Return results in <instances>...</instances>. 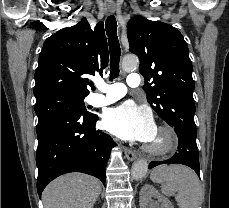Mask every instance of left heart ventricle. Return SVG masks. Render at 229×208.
Listing matches in <instances>:
<instances>
[{
	"mask_svg": "<svg viewBox=\"0 0 229 208\" xmlns=\"http://www.w3.org/2000/svg\"><path fill=\"white\" fill-rule=\"evenodd\" d=\"M165 138H168V135L166 133L156 131L150 141H148V145L153 146L157 149H162L166 147V143L164 142ZM161 142L165 143L164 147L160 146Z\"/></svg>",
	"mask_w": 229,
	"mask_h": 208,
	"instance_id": "1",
	"label": "left heart ventricle"
}]
</instances>
